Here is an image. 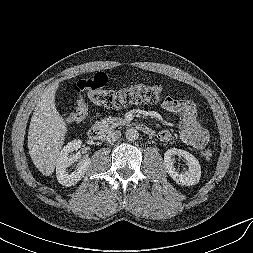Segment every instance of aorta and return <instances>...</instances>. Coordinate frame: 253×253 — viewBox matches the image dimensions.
<instances>
[{"label":"aorta","instance_id":"aorta-1","mask_svg":"<svg viewBox=\"0 0 253 253\" xmlns=\"http://www.w3.org/2000/svg\"><path fill=\"white\" fill-rule=\"evenodd\" d=\"M125 136L128 141H135L139 138V133L134 128H128L125 132Z\"/></svg>","mask_w":253,"mask_h":253}]
</instances>
